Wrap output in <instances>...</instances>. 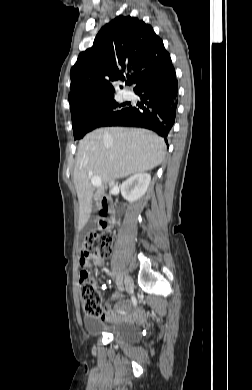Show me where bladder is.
Masks as SVG:
<instances>
[{"instance_id": "31cf9c89", "label": "bladder", "mask_w": 252, "mask_h": 390, "mask_svg": "<svg viewBox=\"0 0 252 390\" xmlns=\"http://www.w3.org/2000/svg\"><path fill=\"white\" fill-rule=\"evenodd\" d=\"M85 329L89 335L109 334L127 344L137 343L142 338L138 324L123 322L104 323L96 319H87L85 321Z\"/></svg>"}]
</instances>
